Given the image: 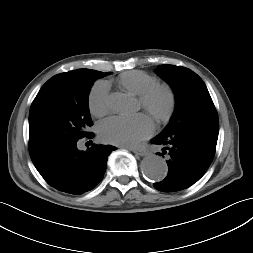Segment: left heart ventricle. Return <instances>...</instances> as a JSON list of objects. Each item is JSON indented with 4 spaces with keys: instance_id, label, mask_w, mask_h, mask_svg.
<instances>
[{
    "instance_id": "obj_1",
    "label": "left heart ventricle",
    "mask_w": 253,
    "mask_h": 253,
    "mask_svg": "<svg viewBox=\"0 0 253 253\" xmlns=\"http://www.w3.org/2000/svg\"><path fill=\"white\" fill-rule=\"evenodd\" d=\"M154 110L156 112H161L166 106V97L164 95H159L154 101Z\"/></svg>"
}]
</instances>
